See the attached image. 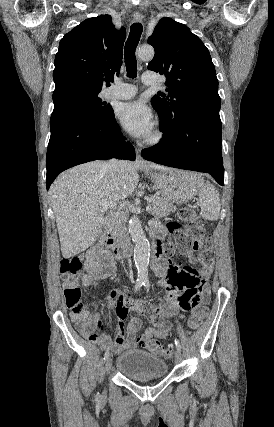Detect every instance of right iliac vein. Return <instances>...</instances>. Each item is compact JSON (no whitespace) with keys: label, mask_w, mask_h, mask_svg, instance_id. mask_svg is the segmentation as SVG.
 Instances as JSON below:
<instances>
[{"label":"right iliac vein","mask_w":274,"mask_h":427,"mask_svg":"<svg viewBox=\"0 0 274 427\" xmlns=\"http://www.w3.org/2000/svg\"><path fill=\"white\" fill-rule=\"evenodd\" d=\"M111 367H112V358L108 357L105 363V370L107 374L110 372Z\"/></svg>","instance_id":"right-iliac-vein-1"}]
</instances>
